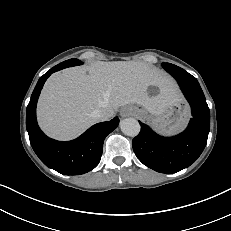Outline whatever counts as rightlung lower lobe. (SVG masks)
<instances>
[{"instance_id": "98d812e1", "label": "right lung lower lobe", "mask_w": 231, "mask_h": 231, "mask_svg": "<svg viewBox=\"0 0 231 231\" xmlns=\"http://www.w3.org/2000/svg\"><path fill=\"white\" fill-rule=\"evenodd\" d=\"M66 66L57 65L38 80L27 106L26 128L33 150L46 166L64 175H80L99 164L104 139L118 126L119 118L95 124L72 141L60 142L47 137L37 124V100L46 79Z\"/></svg>"}]
</instances>
